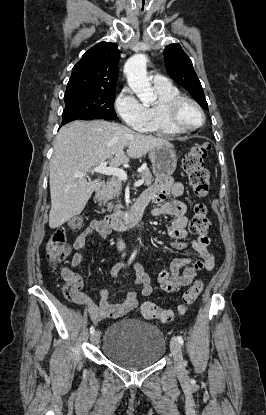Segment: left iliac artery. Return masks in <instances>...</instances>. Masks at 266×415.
<instances>
[{"label":"left iliac artery","mask_w":266,"mask_h":415,"mask_svg":"<svg viewBox=\"0 0 266 415\" xmlns=\"http://www.w3.org/2000/svg\"><path fill=\"white\" fill-rule=\"evenodd\" d=\"M176 340L179 342V344L183 345L184 341H183V338L181 336L178 335L176 337Z\"/></svg>","instance_id":"44dca946"}]
</instances>
